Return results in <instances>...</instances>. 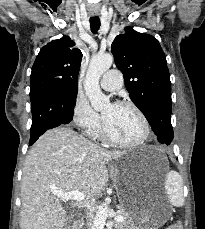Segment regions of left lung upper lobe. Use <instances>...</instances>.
Listing matches in <instances>:
<instances>
[{
	"label": "left lung upper lobe",
	"mask_w": 205,
	"mask_h": 229,
	"mask_svg": "<svg viewBox=\"0 0 205 229\" xmlns=\"http://www.w3.org/2000/svg\"><path fill=\"white\" fill-rule=\"evenodd\" d=\"M112 43L117 68L123 73L129 96L141 110L158 136L169 145L173 139L171 125V82L166 57L158 40L149 34L125 28Z\"/></svg>",
	"instance_id": "5c2ea615"
}]
</instances>
